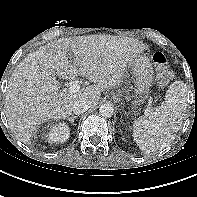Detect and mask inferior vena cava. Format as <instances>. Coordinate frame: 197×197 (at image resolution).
Listing matches in <instances>:
<instances>
[{
    "label": "inferior vena cava",
    "mask_w": 197,
    "mask_h": 197,
    "mask_svg": "<svg viewBox=\"0 0 197 197\" xmlns=\"http://www.w3.org/2000/svg\"><path fill=\"white\" fill-rule=\"evenodd\" d=\"M91 107V102L85 98H79L72 104L71 110L74 114L80 115Z\"/></svg>",
    "instance_id": "inferior-vena-cava-1"
}]
</instances>
